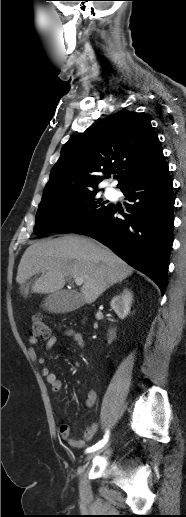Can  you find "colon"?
Returning <instances> with one entry per match:
<instances>
[{
	"label": "colon",
	"mask_w": 186,
	"mask_h": 517,
	"mask_svg": "<svg viewBox=\"0 0 186 517\" xmlns=\"http://www.w3.org/2000/svg\"><path fill=\"white\" fill-rule=\"evenodd\" d=\"M30 334L40 339H48L50 337V330L41 315L36 314L33 316L30 324Z\"/></svg>",
	"instance_id": "obj_1"
}]
</instances>
